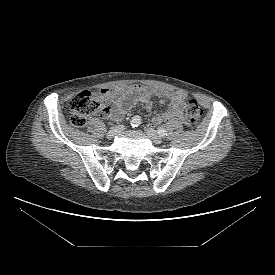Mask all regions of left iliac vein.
I'll use <instances>...</instances> for the list:
<instances>
[{
  "mask_svg": "<svg viewBox=\"0 0 275 275\" xmlns=\"http://www.w3.org/2000/svg\"><path fill=\"white\" fill-rule=\"evenodd\" d=\"M147 136L155 143V144H161L162 143V137L156 133V131L152 128H147L146 130Z\"/></svg>",
  "mask_w": 275,
  "mask_h": 275,
  "instance_id": "4c4485c4",
  "label": "left iliac vein"
}]
</instances>
